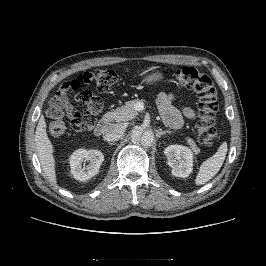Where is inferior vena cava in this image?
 <instances>
[{"mask_svg":"<svg viewBox=\"0 0 266 266\" xmlns=\"http://www.w3.org/2000/svg\"><path fill=\"white\" fill-rule=\"evenodd\" d=\"M125 131V126L122 124H110L104 131L103 137L106 141L119 140Z\"/></svg>","mask_w":266,"mask_h":266,"instance_id":"inferior-vena-cava-1","label":"inferior vena cava"}]
</instances>
